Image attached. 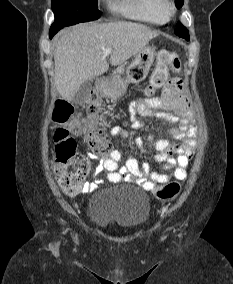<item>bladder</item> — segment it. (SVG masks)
Instances as JSON below:
<instances>
[{"instance_id": "obj_1", "label": "bladder", "mask_w": 233, "mask_h": 284, "mask_svg": "<svg viewBox=\"0 0 233 284\" xmlns=\"http://www.w3.org/2000/svg\"><path fill=\"white\" fill-rule=\"evenodd\" d=\"M150 211L147 193L131 185L97 191L87 203L89 220L102 228L117 226L128 231L138 230L147 223Z\"/></svg>"}]
</instances>
